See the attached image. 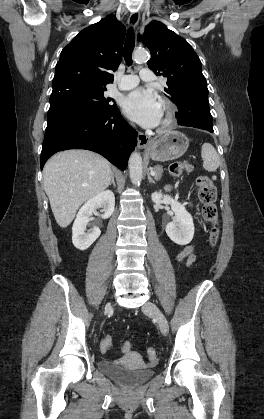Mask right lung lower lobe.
Instances as JSON below:
<instances>
[{
	"label": "right lung lower lobe",
	"mask_w": 264,
	"mask_h": 419,
	"mask_svg": "<svg viewBox=\"0 0 264 419\" xmlns=\"http://www.w3.org/2000/svg\"><path fill=\"white\" fill-rule=\"evenodd\" d=\"M137 144V132L122 118L120 110L66 108L48 119L41 151V169L56 152L87 149L126 169Z\"/></svg>",
	"instance_id": "right-lung-lower-lobe-1"
}]
</instances>
